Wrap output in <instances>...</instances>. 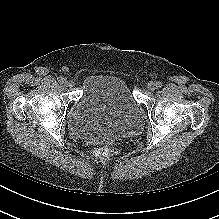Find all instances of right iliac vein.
Segmentation results:
<instances>
[{
  "mask_svg": "<svg viewBox=\"0 0 219 219\" xmlns=\"http://www.w3.org/2000/svg\"><path fill=\"white\" fill-rule=\"evenodd\" d=\"M63 85L66 86V87H73L74 86V81L68 80V79H64Z\"/></svg>",
  "mask_w": 219,
  "mask_h": 219,
  "instance_id": "right-iliac-vein-1",
  "label": "right iliac vein"
}]
</instances>
